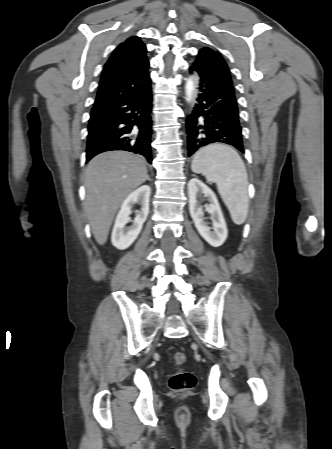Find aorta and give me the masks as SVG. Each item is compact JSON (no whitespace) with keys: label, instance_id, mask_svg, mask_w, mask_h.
Listing matches in <instances>:
<instances>
[{"label":"aorta","instance_id":"762f6f07","mask_svg":"<svg viewBox=\"0 0 332 449\" xmlns=\"http://www.w3.org/2000/svg\"><path fill=\"white\" fill-rule=\"evenodd\" d=\"M194 91H195L194 79H193V77H189L185 84V94H186V100L188 102L192 101Z\"/></svg>","mask_w":332,"mask_h":449}]
</instances>
